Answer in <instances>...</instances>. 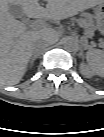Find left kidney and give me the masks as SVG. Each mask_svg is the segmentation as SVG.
<instances>
[{
	"instance_id": "5707ae66",
	"label": "left kidney",
	"mask_w": 104,
	"mask_h": 137,
	"mask_svg": "<svg viewBox=\"0 0 104 137\" xmlns=\"http://www.w3.org/2000/svg\"><path fill=\"white\" fill-rule=\"evenodd\" d=\"M82 70H83V72L85 73V74H91L92 73V71H91V68H89V67H87V66H85V65H83L82 64Z\"/></svg>"
}]
</instances>
